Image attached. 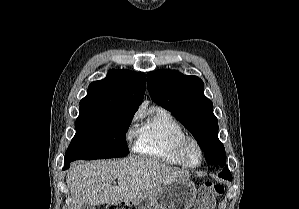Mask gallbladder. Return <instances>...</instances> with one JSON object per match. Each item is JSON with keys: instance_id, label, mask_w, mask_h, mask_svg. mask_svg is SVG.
Segmentation results:
<instances>
[{"instance_id": "gallbladder-1", "label": "gallbladder", "mask_w": 299, "mask_h": 209, "mask_svg": "<svg viewBox=\"0 0 299 209\" xmlns=\"http://www.w3.org/2000/svg\"><path fill=\"white\" fill-rule=\"evenodd\" d=\"M81 209H95L93 205L85 203Z\"/></svg>"}]
</instances>
